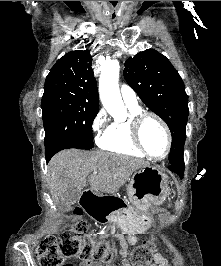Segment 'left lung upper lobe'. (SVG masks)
Returning <instances> with one entry per match:
<instances>
[{
  "instance_id": "1",
  "label": "left lung upper lobe",
  "mask_w": 221,
  "mask_h": 266,
  "mask_svg": "<svg viewBox=\"0 0 221 266\" xmlns=\"http://www.w3.org/2000/svg\"><path fill=\"white\" fill-rule=\"evenodd\" d=\"M123 74L146 106L168 125L172 135L169 161L183 158L189 109L178 71L164 55L147 49L126 60Z\"/></svg>"
}]
</instances>
